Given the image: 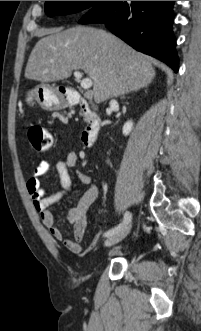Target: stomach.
Instances as JSON below:
<instances>
[{
    "label": "stomach",
    "mask_w": 201,
    "mask_h": 331,
    "mask_svg": "<svg viewBox=\"0 0 201 331\" xmlns=\"http://www.w3.org/2000/svg\"><path fill=\"white\" fill-rule=\"evenodd\" d=\"M26 102L30 105L38 104L45 110H57L65 105V102L46 84H39L29 90Z\"/></svg>",
    "instance_id": "stomach-1"
}]
</instances>
